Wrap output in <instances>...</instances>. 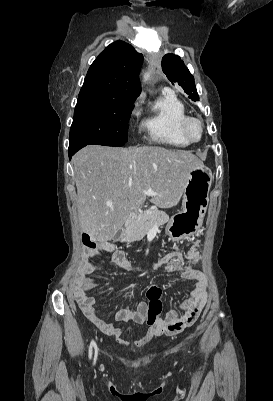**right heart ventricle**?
Masks as SVG:
<instances>
[{
	"mask_svg": "<svg viewBox=\"0 0 273 401\" xmlns=\"http://www.w3.org/2000/svg\"><path fill=\"white\" fill-rule=\"evenodd\" d=\"M140 112L143 108L139 109ZM189 117L185 103L175 94L164 93L147 106L143 127L156 142L186 147L189 145L179 133L180 124Z\"/></svg>",
	"mask_w": 273,
	"mask_h": 401,
	"instance_id": "1",
	"label": "right heart ventricle"
}]
</instances>
